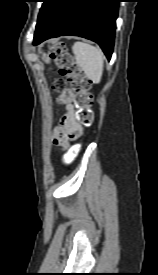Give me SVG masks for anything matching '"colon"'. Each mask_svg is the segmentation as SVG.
Wrapping results in <instances>:
<instances>
[{
  "instance_id": "obj_1",
  "label": "colon",
  "mask_w": 158,
  "mask_h": 275,
  "mask_svg": "<svg viewBox=\"0 0 158 275\" xmlns=\"http://www.w3.org/2000/svg\"><path fill=\"white\" fill-rule=\"evenodd\" d=\"M47 58L58 68L61 75V78L53 83V89L61 92L66 89L67 83L71 85L75 92L76 121L81 126L89 127L93 122V96L89 79L74 61L64 43H53Z\"/></svg>"
}]
</instances>
